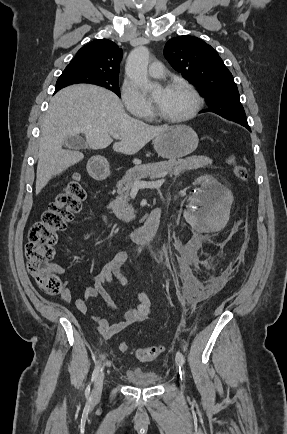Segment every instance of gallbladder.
Returning <instances> with one entry per match:
<instances>
[{
  "label": "gallbladder",
  "instance_id": "obj_1",
  "mask_svg": "<svg viewBox=\"0 0 287 434\" xmlns=\"http://www.w3.org/2000/svg\"><path fill=\"white\" fill-rule=\"evenodd\" d=\"M64 146L70 150H80L86 148L87 143L80 136H71L65 140Z\"/></svg>",
  "mask_w": 287,
  "mask_h": 434
}]
</instances>
